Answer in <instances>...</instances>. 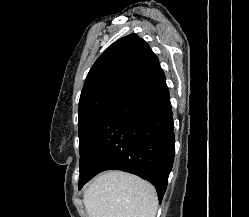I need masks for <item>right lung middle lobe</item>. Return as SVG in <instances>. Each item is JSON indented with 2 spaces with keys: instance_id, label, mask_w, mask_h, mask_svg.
<instances>
[{
  "instance_id": "right-lung-middle-lobe-1",
  "label": "right lung middle lobe",
  "mask_w": 249,
  "mask_h": 217,
  "mask_svg": "<svg viewBox=\"0 0 249 217\" xmlns=\"http://www.w3.org/2000/svg\"><path fill=\"white\" fill-rule=\"evenodd\" d=\"M125 92L109 91L79 104V149L80 162L91 137L105 115Z\"/></svg>"
}]
</instances>
